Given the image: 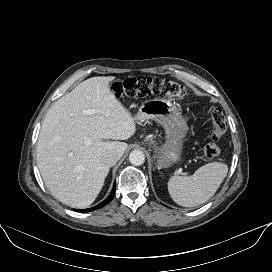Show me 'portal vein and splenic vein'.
Wrapping results in <instances>:
<instances>
[{
	"label": "portal vein and splenic vein",
	"mask_w": 272,
	"mask_h": 272,
	"mask_svg": "<svg viewBox=\"0 0 272 272\" xmlns=\"http://www.w3.org/2000/svg\"><path fill=\"white\" fill-rule=\"evenodd\" d=\"M84 113L89 115V114H93V111L92 110H85Z\"/></svg>",
	"instance_id": "obj_1"
}]
</instances>
